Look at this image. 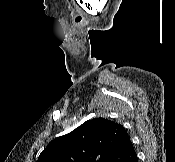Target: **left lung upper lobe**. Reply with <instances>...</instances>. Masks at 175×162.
<instances>
[{
  "label": "left lung upper lobe",
  "mask_w": 175,
  "mask_h": 162,
  "mask_svg": "<svg viewBox=\"0 0 175 162\" xmlns=\"http://www.w3.org/2000/svg\"><path fill=\"white\" fill-rule=\"evenodd\" d=\"M127 135L122 125L108 119L88 120L50 142L37 162H107Z\"/></svg>",
  "instance_id": "1"
}]
</instances>
